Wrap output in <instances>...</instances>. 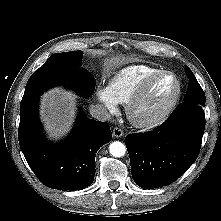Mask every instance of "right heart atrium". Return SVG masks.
Wrapping results in <instances>:
<instances>
[{"mask_svg":"<svg viewBox=\"0 0 221 221\" xmlns=\"http://www.w3.org/2000/svg\"><path fill=\"white\" fill-rule=\"evenodd\" d=\"M96 96L104 109L109 114H115L118 110V104L111 96L107 87H98Z\"/></svg>","mask_w":221,"mask_h":221,"instance_id":"d8ad5b80","label":"right heart atrium"}]
</instances>
